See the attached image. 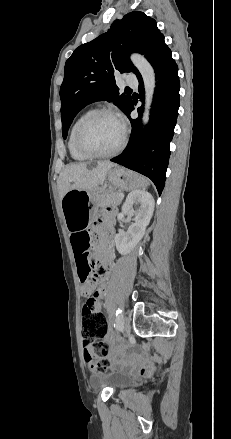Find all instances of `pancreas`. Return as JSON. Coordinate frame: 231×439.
I'll use <instances>...</instances> for the list:
<instances>
[{
	"label": "pancreas",
	"instance_id": "cf45deb5",
	"mask_svg": "<svg viewBox=\"0 0 231 439\" xmlns=\"http://www.w3.org/2000/svg\"><path fill=\"white\" fill-rule=\"evenodd\" d=\"M122 201V198L120 196L119 192L116 191H107L101 201L100 204L101 205H108V204H112V205H119Z\"/></svg>",
	"mask_w": 231,
	"mask_h": 439
}]
</instances>
